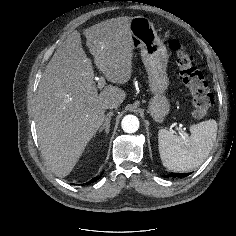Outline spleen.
Segmentation results:
<instances>
[{
    "mask_svg": "<svg viewBox=\"0 0 236 236\" xmlns=\"http://www.w3.org/2000/svg\"><path fill=\"white\" fill-rule=\"evenodd\" d=\"M217 129V122L213 119L191 125L190 136H178L160 129L158 149L163 166L176 172L200 166L214 146Z\"/></svg>",
    "mask_w": 236,
    "mask_h": 236,
    "instance_id": "3e777b00",
    "label": "spleen"
}]
</instances>
